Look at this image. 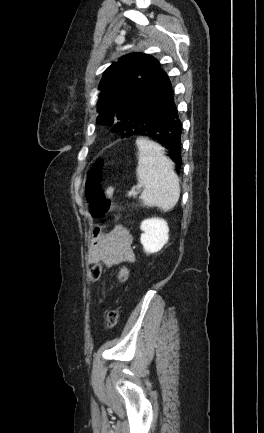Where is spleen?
<instances>
[{
    "label": "spleen",
    "mask_w": 264,
    "mask_h": 433,
    "mask_svg": "<svg viewBox=\"0 0 264 433\" xmlns=\"http://www.w3.org/2000/svg\"><path fill=\"white\" fill-rule=\"evenodd\" d=\"M138 147V181L144 186L140 195L143 206L171 210L179 200V179L173 170V162L164 154L157 143L143 137L136 140ZM114 189L109 187L107 194L112 196Z\"/></svg>",
    "instance_id": "1"
}]
</instances>
